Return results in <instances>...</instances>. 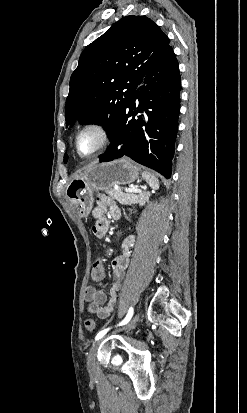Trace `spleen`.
I'll return each mask as SVG.
<instances>
[{"mask_svg":"<svg viewBox=\"0 0 247 413\" xmlns=\"http://www.w3.org/2000/svg\"><path fill=\"white\" fill-rule=\"evenodd\" d=\"M142 176L143 178H145V180H147V182H149L152 188H158L159 186L158 178H156V176H154L152 172H147V170H144V172H142Z\"/></svg>","mask_w":247,"mask_h":413,"instance_id":"spleen-1","label":"spleen"}]
</instances>
